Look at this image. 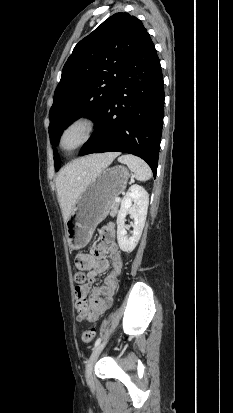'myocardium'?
<instances>
[{
  "mask_svg": "<svg viewBox=\"0 0 233 413\" xmlns=\"http://www.w3.org/2000/svg\"><path fill=\"white\" fill-rule=\"evenodd\" d=\"M96 129V122L93 117L83 114L70 120L61 130L58 137V147L65 154H71L85 145L93 136ZM79 130V140L70 148L64 147V139L66 135L73 131Z\"/></svg>",
  "mask_w": 233,
  "mask_h": 413,
  "instance_id": "myocardium-1",
  "label": "myocardium"
}]
</instances>
